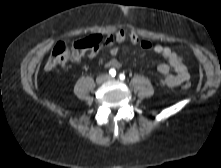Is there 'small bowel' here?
Returning <instances> with one entry per match:
<instances>
[{
  "instance_id": "1",
  "label": "small bowel",
  "mask_w": 221,
  "mask_h": 168,
  "mask_svg": "<svg viewBox=\"0 0 221 168\" xmlns=\"http://www.w3.org/2000/svg\"><path fill=\"white\" fill-rule=\"evenodd\" d=\"M128 40V39H127ZM123 43V42H120ZM115 43V44H120ZM115 44L111 45L110 54L116 56L119 52L118 46ZM140 47L145 51H153L154 53L161 55L166 62L160 63L157 66V70L164 76L162 81L163 85L167 87H175L189 79V72L186 65L183 62L181 56L175 53L172 49L160 44L153 45L147 40H140ZM98 53V48L91 50L88 53L90 58H93ZM107 68L118 69L121 67V63L117 59H110L105 63ZM174 72V73H172Z\"/></svg>"
}]
</instances>
